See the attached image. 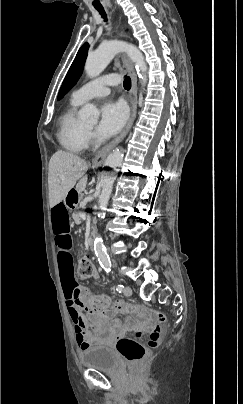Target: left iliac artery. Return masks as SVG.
Returning a JSON list of instances; mask_svg holds the SVG:
<instances>
[{
    "label": "left iliac artery",
    "instance_id": "left-iliac-artery-1",
    "mask_svg": "<svg viewBox=\"0 0 243 404\" xmlns=\"http://www.w3.org/2000/svg\"><path fill=\"white\" fill-rule=\"evenodd\" d=\"M116 290L121 293L124 290V286L121 284L117 285Z\"/></svg>",
    "mask_w": 243,
    "mask_h": 404
}]
</instances>
